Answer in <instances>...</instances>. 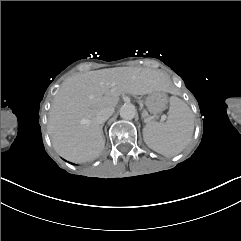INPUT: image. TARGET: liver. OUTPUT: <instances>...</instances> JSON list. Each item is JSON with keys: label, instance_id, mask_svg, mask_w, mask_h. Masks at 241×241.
I'll use <instances>...</instances> for the list:
<instances>
[{"label": "liver", "instance_id": "liver-1", "mask_svg": "<svg viewBox=\"0 0 241 241\" xmlns=\"http://www.w3.org/2000/svg\"><path fill=\"white\" fill-rule=\"evenodd\" d=\"M163 72L125 67L75 74L67 78L54 97L48 133L55 151L74 163L99 157L105 146L96 115L115 108L121 94L145 95L166 91Z\"/></svg>", "mask_w": 241, "mask_h": 241}]
</instances>
